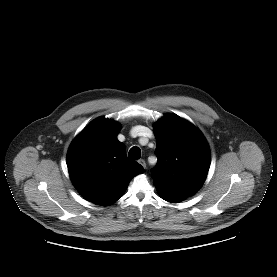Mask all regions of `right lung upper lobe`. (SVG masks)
<instances>
[{"instance_id":"1","label":"right lung upper lobe","mask_w":277,"mask_h":277,"mask_svg":"<svg viewBox=\"0 0 277 277\" xmlns=\"http://www.w3.org/2000/svg\"><path fill=\"white\" fill-rule=\"evenodd\" d=\"M120 127L105 117L92 121L71 143L67 154L70 178L87 200L111 205L125 192L143 167L130 161L117 140Z\"/></svg>"}]
</instances>
